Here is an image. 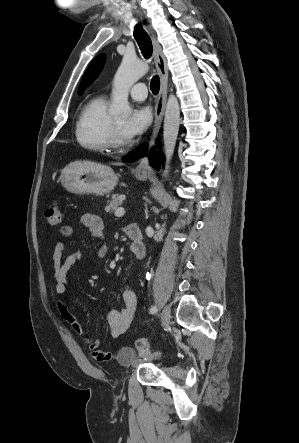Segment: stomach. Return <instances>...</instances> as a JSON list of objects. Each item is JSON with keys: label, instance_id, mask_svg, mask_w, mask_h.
I'll return each instance as SVG.
<instances>
[{"label": "stomach", "instance_id": "0dacf381", "mask_svg": "<svg viewBox=\"0 0 299 443\" xmlns=\"http://www.w3.org/2000/svg\"><path fill=\"white\" fill-rule=\"evenodd\" d=\"M136 178L144 181L148 175L136 173ZM60 182L71 193L101 195L114 189L118 177L108 166L74 162L61 171Z\"/></svg>", "mask_w": 299, "mask_h": 443}]
</instances>
